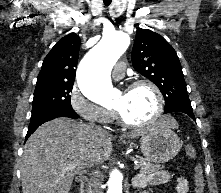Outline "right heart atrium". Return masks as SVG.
<instances>
[{
	"mask_svg": "<svg viewBox=\"0 0 221 193\" xmlns=\"http://www.w3.org/2000/svg\"><path fill=\"white\" fill-rule=\"evenodd\" d=\"M69 104L77 115L91 123L106 124L114 116L112 110L106 109L89 100L78 86L72 87L69 94Z\"/></svg>",
	"mask_w": 221,
	"mask_h": 193,
	"instance_id": "right-heart-atrium-1",
	"label": "right heart atrium"
}]
</instances>
